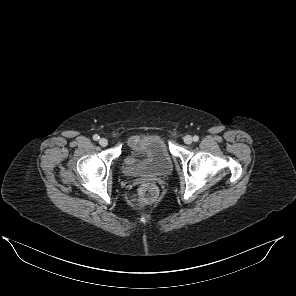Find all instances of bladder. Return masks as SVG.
<instances>
[{
	"mask_svg": "<svg viewBox=\"0 0 296 296\" xmlns=\"http://www.w3.org/2000/svg\"><path fill=\"white\" fill-rule=\"evenodd\" d=\"M135 147L142 150L147 159L137 165L125 163L124 170L128 175L164 177L172 172L173 161L164 140L160 136H144L137 141Z\"/></svg>",
	"mask_w": 296,
	"mask_h": 296,
	"instance_id": "31cf9c89",
	"label": "bladder"
}]
</instances>
